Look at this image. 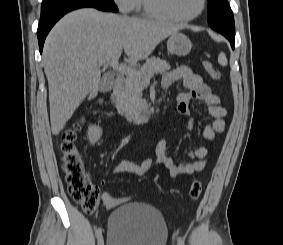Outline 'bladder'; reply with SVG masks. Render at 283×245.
Masks as SVG:
<instances>
[{
    "label": "bladder",
    "mask_w": 283,
    "mask_h": 245,
    "mask_svg": "<svg viewBox=\"0 0 283 245\" xmlns=\"http://www.w3.org/2000/svg\"><path fill=\"white\" fill-rule=\"evenodd\" d=\"M168 230L162 213L143 202L116 207L107 223V245H166Z\"/></svg>",
    "instance_id": "31cf9c89"
}]
</instances>
